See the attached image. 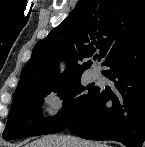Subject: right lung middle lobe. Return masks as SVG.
Here are the masks:
<instances>
[{
    "mask_svg": "<svg viewBox=\"0 0 145 147\" xmlns=\"http://www.w3.org/2000/svg\"><path fill=\"white\" fill-rule=\"evenodd\" d=\"M97 88L94 84L84 87L81 75H76L59 86L33 87L15 92L3 138L13 140L64 130L87 106ZM87 89L89 90L84 92ZM51 91H60L61 98L64 99L63 106L54 117L43 118L42 98Z\"/></svg>",
    "mask_w": 145,
    "mask_h": 147,
    "instance_id": "1",
    "label": "right lung middle lobe"
}]
</instances>
